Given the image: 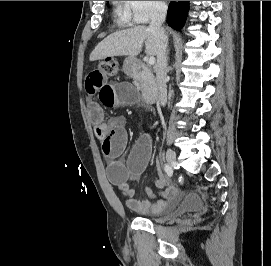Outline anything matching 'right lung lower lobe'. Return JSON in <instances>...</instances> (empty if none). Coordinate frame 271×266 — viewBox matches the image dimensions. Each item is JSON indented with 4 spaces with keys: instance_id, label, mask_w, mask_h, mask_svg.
Segmentation results:
<instances>
[{
    "instance_id": "98d812e1",
    "label": "right lung lower lobe",
    "mask_w": 271,
    "mask_h": 266,
    "mask_svg": "<svg viewBox=\"0 0 271 266\" xmlns=\"http://www.w3.org/2000/svg\"><path fill=\"white\" fill-rule=\"evenodd\" d=\"M189 10V1H171L167 12V23L176 30H180Z\"/></svg>"
}]
</instances>
